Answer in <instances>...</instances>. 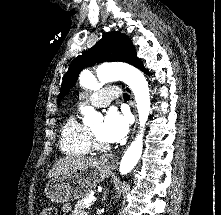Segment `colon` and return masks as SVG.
Segmentation results:
<instances>
[{
    "label": "colon",
    "mask_w": 221,
    "mask_h": 215,
    "mask_svg": "<svg viewBox=\"0 0 221 215\" xmlns=\"http://www.w3.org/2000/svg\"><path fill=\"white\" fill-rule=\"evenodd\" d=\"M41 215H57V210L55 207L47 205L43 207Z\"/></svg>",
    "instance_id": "1"
}]
</instances>
